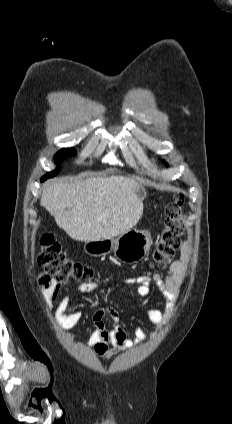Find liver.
Returning <instances> with one entry per match:
<instances>
[{"label": "liver", "instance_id": "obj_1", "mask_svg": "<svg viewBox=\"0 0 232 424\" xmlns=\"http://www.w3.org/2000/svg\"><path fill=\"white\" fill-rule=\"evenodd\" d=\"M141 188L136 180L123 176L57 179L43 189L40 205L74 240L113 238L133 228L141 218Z\"/></svg>", "mask_w": 232, "mask_h": 424}]
</instances>
